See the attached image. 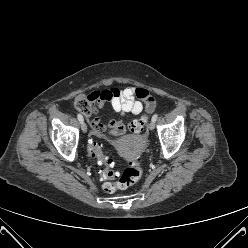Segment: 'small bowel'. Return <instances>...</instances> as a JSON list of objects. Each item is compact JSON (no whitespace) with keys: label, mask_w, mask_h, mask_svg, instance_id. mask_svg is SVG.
<instances>
[{"label":"small bowel","mask_w":248,"mask_h":248,"mask_svg":"<svg viewBox=\"0 0 248 248\" xmlns=\"http://www.w3.org/2000/svg\"><path fill=\"white\" fill-rule=\"evenodd\" d=\"M109 91V92H108ZM96 101L99 105L109 102L112 108L120 115L128 114L138 115L143 110L152 113L157 107V102L150 99V93L142 87L128 86L121 90L111 88L100 90ZM92 133L96 136H102L110 133L114 136H120L125 133L126 125L122 121L111 120L107 124L97 115L91 123Z\"/></svg>","instance_id":"small-bowel-1"}]
</instances>
